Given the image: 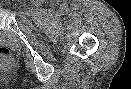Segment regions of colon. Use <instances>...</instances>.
Returning a JSON list of instances; mask_svg holds the SVG:
<instances>
[{"label": "colon", "mask_w": 131, "mask_h": 89, "mask_svg": "<svg viewBox=\"0 0 131 89\" xmlns=\"http://www.w3.org/2000/svg\"><path fill=\"white\" fill-rule=\"evenodd\" d=\"M0 58L5 60L11 59V52L7 48H0Z\"/></svg>", "instance_id": "1"}]
</instances>
